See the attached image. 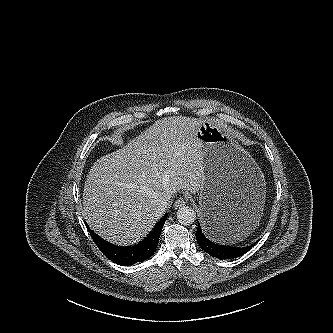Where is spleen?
<instances>
[{
    "instance_id": "obj_1",
    "label": "spleen",
    "mask_w": 333,
    "mask_h": 333,
    "mask_svg": "<svg viewBox=\"0 0 333 333\" xmlns=\"http://www.w3.org/2000/svg\"><path fill=\"white\" fill-rule=\"evenodd\" d=\"M248 219H252V225L247 227V219L243 222H239L238 226L231 225L226 232H223L221 235V240L223 241H234L240 240L246 237L250 231L257 225L254 223L252 215L248 217Z\"/></svg>"
}]
</instances>
